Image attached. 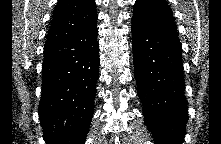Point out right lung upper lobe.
Segmentation results:
<instances>
[{"instance_id":"1","label":"right lung upper lobe","mask_w":221,"mask_h":144,"mask_svg":"<svg viewBox=\"0 0 221 144\" xmlns=\"http://www.w3.org/2000/svg\"><path fill=\"white\" fill-rule=\"evenodd\" d=\"M95 0H60L54 10L44 47L65 41L96 24Z\"/></svg>"}]
</instances>
